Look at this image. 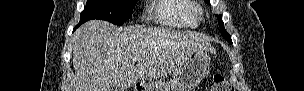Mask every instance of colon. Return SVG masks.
Wrapping results in <instances>:
<instances>
[{
    "label": "colon",
    "mask_w": 304,
    "mask_h": 91,
    "mask_svg": "<svg viewBox=\"0 0 304 91\" xmlns=\"http://www.w3.org/2000/svg\"><path fill=\"white\" fill-rule=\"evenodd\" d=\"M212 91H231L233 88L230 86L226 78L222 75H215L213 77Z\"/></svg>",
    "instance_id": "obj_1"
}]
</instances>
